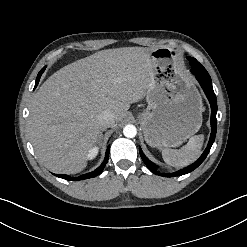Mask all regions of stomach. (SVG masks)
Segmentation results:
<instances>
[{
  "label": "stomach",
  "instance_id": "obj_1",
  "mask_svg": "<svg viewBox=\"0 0 247 247\" xmlns=\"http://www.w3.org/2000/svg\"><path fill=\"white\" fill-rule=\"evenodd\" d=\"M152 82L147 108L138 115L146 142L156 148L177 147L202 125V98L167 47L150 53Z\"/></svg>",
  "mask_w": 247,
  "mask_h": 247
}]
</instances>
